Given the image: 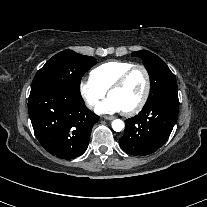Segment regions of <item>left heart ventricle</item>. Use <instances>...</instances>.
<instances>
[{"label":"left heart ventricle","mask_w":207,"mask_h":207,"mask_svg":"<svg viewBox=\"0 0 207 207\" xmlns=\"http://www.w3.org/2000/svg\"><path fill=\"white\" fill-rule=\"evenodd\" d=\"M145 90V77L142 71L136 70L126 83L109 93L121 105L123 110L133 107L142 97Z\"/></svg>","instance_id":"1"}]
</instances>
